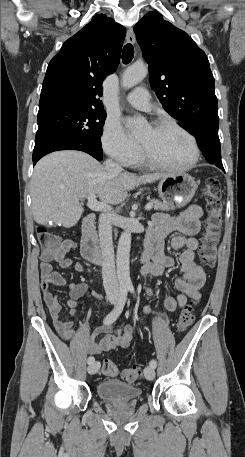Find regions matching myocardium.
<instances>
[{
  "instance_id": "1",
  "label": "myocardium",
  "mask_w": 245,
  "mask_h": 457,
  "mask_svg": "<svg viewBox=\"0 0 245 457\" xmlns=\"http://www.w3.org/2000/svg\"><path fill=\"white\" fill-rule=\"evenodd\" d=\"M152 128L156 129V130H161L164 128H174V129H177L178 131H180L181 133H183L190 141L191 158H190L189 162L184 165L172 166V165L165 164V163L149 156L148 154L144 153V151L138 145L137 146L138 155L143 162H145L150 167H153L156 169H161V170H166V171H186V170L191 169L196 164V162L199 158V150L197 147L196 139L189 131H187L185 128L180 126L178 123H176L175 121H172L170 119H162V120L158 121L157 123H155Z\"/></svg>"
}]
</instances>
